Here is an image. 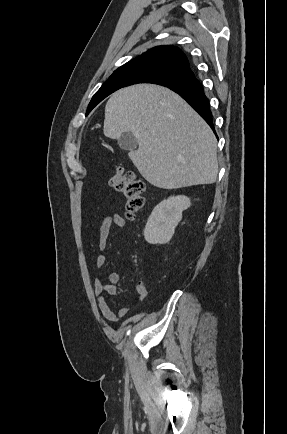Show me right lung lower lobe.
<instances>
[{
    "label": "right lung lower lobe",
    "instance_id": "98d812e1",
    "mask_svg": "<svg viewBox=\"0 0 287 434\" xmlns=\"http://www.w3.org/2000/svg\"><path fill=\"white\" fill-rule=\"evenodd\" d=\"M192 106V108L199 113V115L209 124L214 131L212 113L209 107V100L207 99L201 83L195 77L194 73L189 72L183 79L166 86Z\"/></svg>",
    "mask_w": 287,
    "mask_h": 434
}]
</instances>
